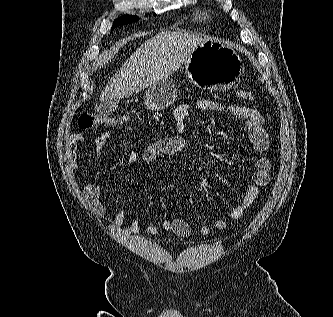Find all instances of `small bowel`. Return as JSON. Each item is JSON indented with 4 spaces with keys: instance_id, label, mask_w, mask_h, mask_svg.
Wrapping results in <instances>:
<instances>
[{
    "instance_id": "obj_1",
    "label": "small bowel",
    "mask_w": 333,
    "mask_h": 317,
    "mask_svg": "<svg viewBox=\"0 0 333 317\" xmlns=\"http://www.w3.org/2000/svg\"><path fill=\"white\" fill-rule=\"evenodd\" d=\"M192 109L200 111H228L232 115L241 117L246 122L248 139L253 148L260 153L265 152L269 146V138L265 129V121L262 114L253 108L240 106L237 104L225 105L210 99H198L192 102H184L177 105L173 111V117L176 123L177 134L170 137L161 138L149 144L142 154L132 151L128 154L125 164L132 165L138 161L144 164H152L160 158L183 152L187 143L185 140V120L189 116ZM109 132L102 133L95 139L96 154H100L104 146L110 140ZM84 140L82 134L75 133L69 136L66 143L65 157L68 166L71 170L77 167L78 146ZM271 162L267 156H259L254 163V172L252 173L251 183L248 185L245 193L240 201L231 209L228 218L231 220L240 219L246 210L252 205L258 196L259 188L268 185L270 181ZM103 188L100 185L93 183L86 184L82 189V195L90 205L92 211L103 216L106 208L101 201ZM126 209L121 206L113 219V226L120 228L125 220ZM228 220L225 218L217 219L213 223V228L223 230L227 228ZM162 228L166 231H171L178 236L188 237L193 232L201 235H208L212 228L207 225H201L193 228L188 222L181 218L164 219L160 225L150 224L146 231L148 234H156ZM131 234H136L139 231V223L134 219L129 227Z\"/></svg>"
}]
</instances>
